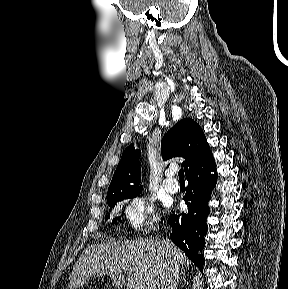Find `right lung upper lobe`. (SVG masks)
I'll return each instance as SVG.
<instances>
[{
    "label": "right lung upper lobe",
    "mask_w": 288,
    "mask_h": 289,
    "mask_svg": "<svg viewBox=\"0 0 288 289\" xmlns=\"http://www.w3.org/2000/svg\"><path fill=\"white\" fill-rule=\"evenodd\" d=\"M161 152L164 160L183 157L187 174L212 154L201 127L192 119L185 118L173 126L163 137ZM140 150L133 144L125 149L113 175L108 192L142 188L140 185Z\"/></svg>",
    "instance_id": "obj_1"
}]
</instances>
